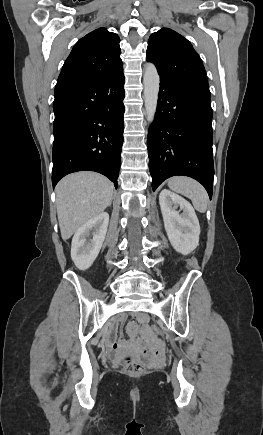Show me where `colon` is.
Returning a JSON list of instances; mask_svg holds the SVG:
<instances>
[{
    "mask_svg": "<svg viewBox=\"0 0 263 435\" xmlns=\"http://www.w3.org/2000/svg\"><path fill=\"white\" fill-rule=\"evenodd\" d=\"M150 327L153 330V332H157L159 335H161V330L157 327L156 324H151ZM157 341H162V340L159 338ZM122 368L123 371L129 375H139L144 371L145 366L141 361L128 356L124 358L122 362Z\"/></svg>",
    "mask_w": 263,
    "mask_h": 435,
    "instance_id": "1",
    "label": "colon"
}]
</instances>
